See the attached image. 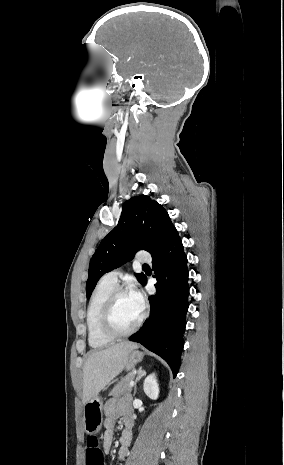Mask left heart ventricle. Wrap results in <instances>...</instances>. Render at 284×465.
Here are the masks:
<instances>
[{"label":"left heart ventricle","instance_id":"1","mask_svg":"<svg viewBox=\"0 0 284 465\" xmlns=\"http://www.w3.org/2000/svg\"><path fill=\"white\" fill-rule=\"evenodd\" d=\"M142 310L137 307L130 295L121 296L116 304L113 326L118 334L129 332L138 322Z\"/></svg>","mask_w":284,"mask_h":465}]
</instances>
